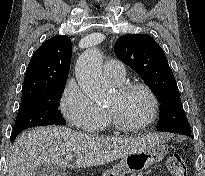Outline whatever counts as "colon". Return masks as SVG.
Segmentation results:
<instances>
[{
	"label": "colon",
	"mask_w": 205,
	"mask_h": 176,
	"mask_svg": "<svg viewBox=\"0 0 205 176\" xmlns=\"http://www.w3.org/2000/svg\"><path fill=\"white\" fill-rule=\"evenodd\" d=\"M167 167L172 176H187V166L179 153H173L169 156Z\"/></svg>",
	"instance_id": "obj_1"
}]
</instances>
